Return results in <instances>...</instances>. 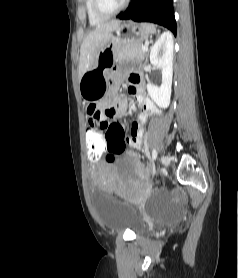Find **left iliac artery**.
I'll return each instance as SVG.
<instances>
[{
	"label": "left iliac artery",
	"instance_id": "1",
	"mask_svg": "<svg viewBox=\"0 0 238 278\" xmlns=\"http://www.w3.org/2000/svg\"><path fill=\"white\" fill-rule=\"evenodd\" d=\"M157 158V151L156 149H153L152 151V159L155 160Z\"/></svg>",
	"mask_w": 238,
	"mask_h": 278
}]
</instances>
